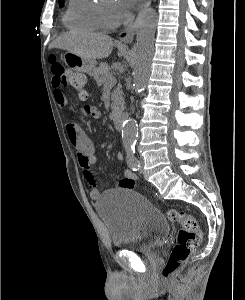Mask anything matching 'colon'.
<instances>
[{
	"instance_id": "colon-1",
	"label": "colon",
	"mask_w": 245,
	"mask_h": 300,
	"mask_svg": "<svg viewBox=\"0 0 245 300\" xmlns=\"http://www.w3.org/2000/svg\"><path fill=\"white\" fill-rule=\"evenodd\" d=\"M51 71L62 86L72 87L80 99L87 97L85 77L82 74L66 68L55 59L51 60ZM166 214L170 221L181 225L177 241L162 269L163 276L170 278L196 249L202 239V231L195 217L185 211L169 209Z\"/></svg>"
}]
</instances>
